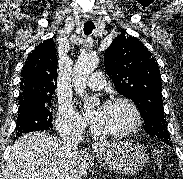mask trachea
Segmentation results:
<instances>
[{
  "label": "trachea",
  "mask_w": 183,
  "mask_h": 179,
  "mask_svg": "<svg viewBox=\"0 0 183 179\" xmlns=\"http://www.w3.org/2000/svg\"><path fill=\"white\" fill-rule=\"evenodd\" d=\"M93 29H95V25L93 22L91 21H87L85 24H84V34L85 35H89L92 33Z\"/></svg>",
  "instance_id": "1"
}]
</instances>
